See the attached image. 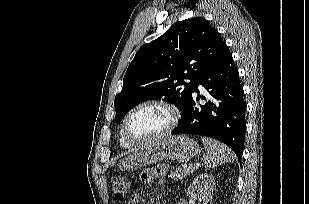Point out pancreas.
<instances>
[{"label":"pancreas","instance_id":"obj_1","mask_svg":"<svg viewBox=\"0 0 309 204\" xmlns=\"http://www.w3.org/2000/svg\"><path fill=\"white\" fill-rule=\"evenodd\" d=\"M196 170V167L192 164H182L181 166L177 167V169L172 172L169 177L173 180H181L184 177L190 175Z\"/></svg>","mask_w":309,"mask_h":204}]
</instances>
